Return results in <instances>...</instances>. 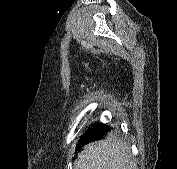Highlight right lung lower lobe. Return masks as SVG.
Wrapping results in <instances>:
<instances>
[{
    "label": "right lung lower lobe",
    "mask_w": 177,
    "mask_h": 169,
    "mask_svg": "<svg viewBox=\"0 0 177 169\" xmlns=\"http://www.w3.org/2000/svg\"><path fill=\"white\" fill-rule=\"evenodd\" d=\"M108 130H110V127L102 123H98L94 125L93 128H89L80 138L79 143L77 144V149L80 146L90 143L91 141L101 139L105 135V132Z\"/></svg>",
    "instance_id": "1"
}]
</instances>
